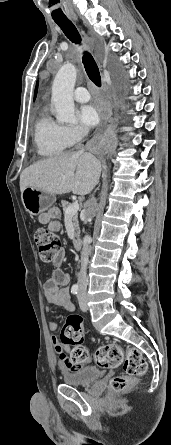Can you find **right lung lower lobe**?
I'll return each mask as SVG.
<instances>
[{"label":"right lung lower lobe","instance_id":"98d812e1","mask_svg":"<svg viewBox=\"0 0 171 445\" xmlns=\"http://www.w3.org/2000/svg\"><path fill=\"white\" fill-rule=\"evenodd\" d=\"M89 147L94 153L100 156L110 154L114 148L109 137H96L91 141Z\"/></svg>","mask_w":171,"mask_h":445}]
</instances>
